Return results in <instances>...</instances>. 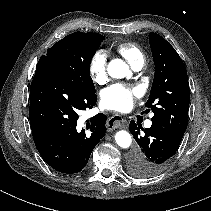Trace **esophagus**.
Segmentation results:
<instances>
[{
  "mask_svg": "<svg viewBox=\"0 0 211 211\" xmlns=\"http://www.w3.org/2000/svg\"><path fill=\"white\" fill-rule=\"evenodd\" d=\"M125 122L126 121L122 116L115 114L108 119L106 127L109 131H112L117 128L123 127L125 125Z\"/></svg>",
  "mask_w": 211,
  "mask_h": 211,
  "instance_id": "obj_1",
  "label": "esophagus"
}]
</instances>
